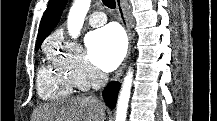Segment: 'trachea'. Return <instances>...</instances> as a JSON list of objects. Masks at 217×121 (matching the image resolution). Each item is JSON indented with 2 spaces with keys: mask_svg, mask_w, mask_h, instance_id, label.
<instances>
[{
  "mask_svg": "<svg viewBox=\"0 0 217 121\" xmlns=\"http://www.w3.org/2000/svg\"><path fill=\"white\" fill-rule=\"evenodd\" d=\"M103 4L110 8V9H114L116 7V2L115 0H102Z\"/></svg>",
  "mask_w": 217,
  "mask_h": 121,
  "instance_id": "obj_1",
  "label": "trachea"
}]
</instances>
